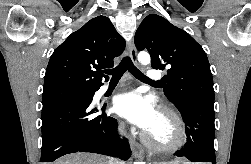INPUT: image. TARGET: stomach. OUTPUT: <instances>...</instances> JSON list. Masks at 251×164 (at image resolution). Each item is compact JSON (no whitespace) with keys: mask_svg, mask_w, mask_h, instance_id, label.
Segmentation results:
<instances>
[{"mask_svg":"<svg viewBox=\"0 0 251 164\" xmlns=\"http://www.w3.org/2000/svg\"><path fill=\"white\" fill-rule=\"evenodd\" d=\"M154 164H186V162H180V161H173V162H156Z\"/></svg>","mask_w":251,"mask_h":164,"instance_id":"stomach-1","label":"stomach"}]
</instances>
